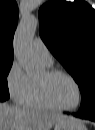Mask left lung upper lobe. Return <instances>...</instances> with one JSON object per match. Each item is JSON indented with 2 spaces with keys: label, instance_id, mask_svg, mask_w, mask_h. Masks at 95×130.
I'll return each mask as SVG.
<instances>
[{
  "label": "left lung upper lobe",
  "instance_id": "left-lung-upper-lobe-1",
  "mask_svg": "<svg viewBox=\"0 0 95 130\" xmlns=\"http://www.w3.org/2000/svg\"><path fill=\"white\" fill-rule=\"evenodd\" d=\"M39 18L42 40L79 85L81 106L95 100V10L84 0H52Z\"/></svg>",
  "mask_w": 95,
  "mask_h": 130
}]
</instances>
